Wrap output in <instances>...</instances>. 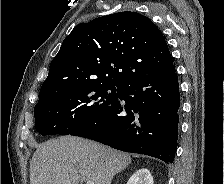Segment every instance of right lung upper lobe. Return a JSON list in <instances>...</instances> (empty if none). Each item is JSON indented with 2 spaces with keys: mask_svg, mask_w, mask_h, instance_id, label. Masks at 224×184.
Here are the masks:
<instances>
[{
  "mask_svg": "<svg viewBox=\"0 0 224 184\" xmlns=\"http://www.w3.org/2000/svg\"><path fill=\"white\" fill-rule=\"evenodd\" d=\"M165 38L148 18L119 12L78 24L50 64L39 102L84 83L123 85L173 69Z\"/></svg>",
  "mask_w": 224,
  "mask_h": 184,
  "instance_id": "obj_1",
  "label": "right lung upper lobe"
}]
</instances>
